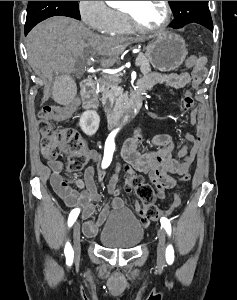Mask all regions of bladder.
<instances>
[{"label": "bladder", "mask_w": 237, "mask_h": 300, "mask_svg": "<svg viewBox=\"0 0 237 300\" xmlns=\"http://www.w3.org/2000/svg\"><path fill=\"white\" fill-rule=\"evenodd\" d=\"M145 229L140 220L124 210L108 218L97 238L106 248L131 249L141 243Z\"/></svg>", "instance_id": "1"}]
</instances>
